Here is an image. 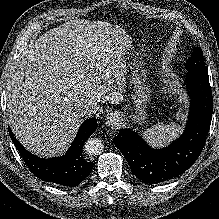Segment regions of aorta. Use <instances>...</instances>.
<instances>
[{
	"label": "aorta",
	"mask_w": 219,
	"mask_h": 219,
	"mask_svg": "<svg viewBox=\"0 0 219 219\" xmlns=\"http://www.w3.org/2000/svg\"><path fill=\"white\" fill-rule=\"evenodd\" d=\"M84 147L86 153L89 155H98L104 149V145L99 138H89Z\"/></svg>",
	"instance_id": "762f6f07"
}]
</instances>
